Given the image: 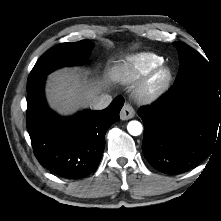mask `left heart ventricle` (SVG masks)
<instances>
[{"mask_svg": "<svg viewBox=\"0 0 221 221\" xmlns=\"http://www.w3.org/2000/svg\"><path fill=\"white\" fill-rule=\"evenodd\" d=\"M163 78H164V74L162 73L156 78V83L161 82L163 80Z\"/></svg>", "mask_w": 221, "mask_h": 221, "instance_id": "left-heart-ventricle-1", "label": "left heart ventricle"}]
</instances>
